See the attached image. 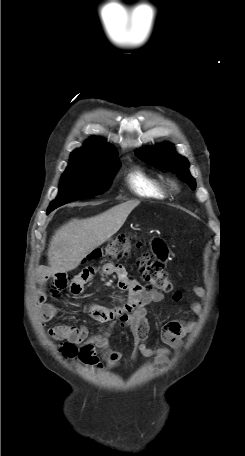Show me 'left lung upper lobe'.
I'll list each match as a JSON object with an SVG mask.
<instances>
[{
  "mask_svg": "<svg viewBox=\"0 0 245 456\" xmlns=\"http://www.w3.org/2000/svg\"><path fill=\"white\" fill-rule=\"evenodd\" d=\"M137 157L143 161L154 165L162 171H172L177 174L184 182L195 190V179L190 175L189 163L186 158L179 156L173 151V147L168 143H163L148 150H137Z\"/></svg>",
  "mask_w": 245,
  "mask_h": 456,
  "instance_id": "obj_1",
  "label": "left lung upper lobe"
}]
</instances>
